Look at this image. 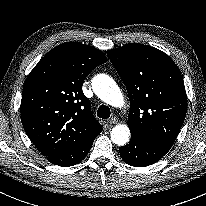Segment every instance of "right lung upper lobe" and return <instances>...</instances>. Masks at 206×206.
I'll use <instances>...</instances> for the list:
<instances>
[{
	"label": "right lung upper lobe",
	"mask_w": 206,
	"mask_h": 206,
	"mask_svg": "<svg viewBox=\"0 0 206 206\" xmlns=\"http://www.w3.org/2000/svg\"><path fill=\"white\" fill-rule=\"evenodd\" d=\"M106 61L98 49L64 43L48 52L26 78L21 121L30 140L45 156L68 151L102 131L82 84Z\"/></svg>",
	"instance_id": "right-lung-upper-lobe-1"
}]
</instances>
